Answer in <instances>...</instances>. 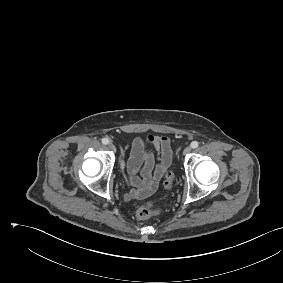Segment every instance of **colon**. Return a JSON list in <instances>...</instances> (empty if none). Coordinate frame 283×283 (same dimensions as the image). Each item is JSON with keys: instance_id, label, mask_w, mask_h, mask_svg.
<instances>
[{"instance_id": "colon-1", "label": "colon", "mask_w": 283, "mask_h": 283, "mask_svg": "<svg viewBox=\"0 0 283 283\" xmlns=\"http://www.w3.org/2000/svg\"><path fill=\"white\" fill-rule=\"evenodd\" d=\"M164 186L166 189L172 188L173 186V173L172 172H168L166 174ZM159 211L160 209L158 206H155L152 203H145L137 209L136 215L139 219H146L153 215L158 214Z\"/></svg>"}]
</instances>
